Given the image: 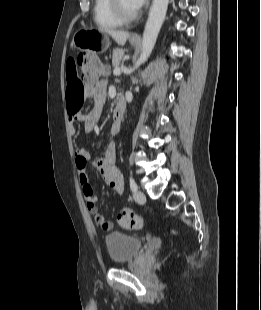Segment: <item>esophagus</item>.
I'll return each mask as SVG.
<instances>
[{
  "mask_svg": "<svg viewBox=\"0 0 261 310\" xmlns=\"http://www.w3.org/2000/svg\"><path fill=\"white\" fill-rule=\"evenodd\" d=\"M132 39H134V40H138V39H140V37H139V35H138V34H133V35H132Z\"/></svg>",
  "mask_w": 261,
  "mask_h": 310,
  "instance_id": "34e87169",
  "label": "esophagus"
}]
</instances>
